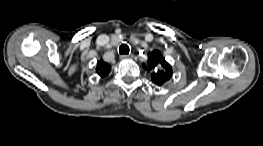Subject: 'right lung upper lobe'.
<instances>
[{
	"mask_svg": "<svg viewBox=\"0 0 263 146\" xmlns=\"http://www.w3.org/2000/svg\"><path fill=\"white\" fill-rule=\"evenodd\" d=\"M111 70V66L104 61L100 60L97 63L96 72L99 76L105 77Z\"/></svg>",
	"mask_w": 263,
	"mask_h": 146,
	"instance_id": "right-lung-upper-lobe-1",
	"label": "right lung upper lobe"
}]
</instances>
